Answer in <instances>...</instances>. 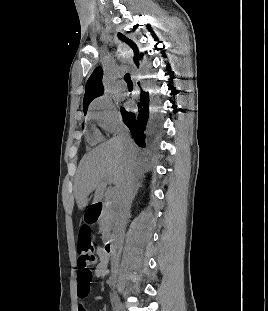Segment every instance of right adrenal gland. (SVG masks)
<instances>
[{"label":"right adrenal gland","mask_w":268,"mask_h":311,"mask_svg":"<svg viewBox=\"0 0 268 311\" xmlns=\"http://www.w3.org/2000/svg\"><path fill=\"white\" fill-rule=\"evenodd\" d=\"M140 179H142V178H140ZM143 185H142V180L141 181H139L138 183H137V188H136V191L135 192H137V190L140 188V187H142Z\"/></svg>","instance_id":"obj_1"}]
</instances>
